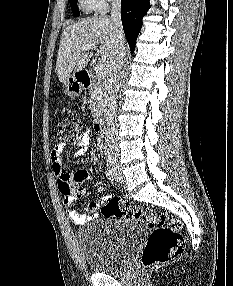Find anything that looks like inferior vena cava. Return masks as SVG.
Returning a JSON list of instances; mask_svg holds the SVG:
<instances>
[{"label":"inferior vena cava","instance_id":"obj_1","mask_svg":"<svg viewBox=\"0 0 233 286\" xmlns=\"http://www.w3.org/2000/svg\"><path fill=\"white\" fill-rule=\"evenodd\" d=\"M111 20L116 28V44H115V57L107 70V79L105 81L106 87V129L107 144L113 143V149L118 151L115 134L117 131V87L120 77V71L125 62L126 48L124 45V34L121 23V0H111Z\"/></svg>","mask_w":233,"mask_h":286}]
</instances>
